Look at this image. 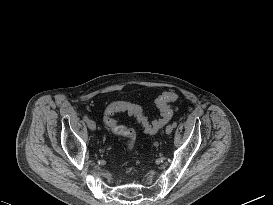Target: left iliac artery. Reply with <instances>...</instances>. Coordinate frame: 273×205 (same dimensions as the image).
<instances>
[{
	"label": "left iliac artery",
	"instance_id": "1",
	"mask_svg": "<svg viewBox=\"0 0 273 205\" xmlns=\"http://www.w3.org/2000/svg\"><path fill=\"white\" fill-rule=\"evenodd\" d=\"M172 126H173V128H175V127L177 126V123L174 122V123L172 124Z\"/></svg>",
	"mask_w": 273,
	"mask_h": 205
}]
</instances>
